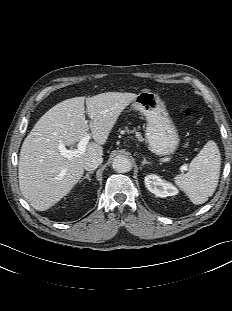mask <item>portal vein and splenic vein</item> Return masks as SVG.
Instances as JSON below:
<instances>
[{
    "instance_id": "portal-vein-and-splenic-vein-1",
    "label": "portal vein and splenic vein",
    "mask_w": 232,
    "mask_h": 311,
    "mask_svg": "<svg viewBox=\"0 0 232 311\" xmlns=\"http://www.w3.org/2000/svg\"><path fill=\"white\" fill-rule=\"evenodd\" d=\"M91 136L87 134L84 136L77 144V149L68 150L63 143L59 144V152L62 156L70 159L72 157H77L86 151V145L88 144Z\"/></svg>"
}]
</instances>
